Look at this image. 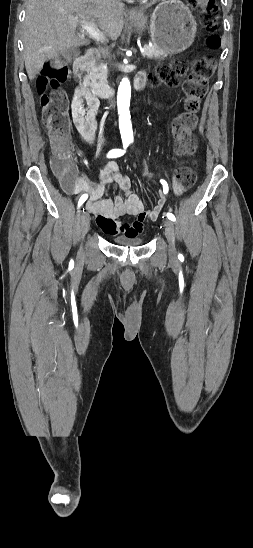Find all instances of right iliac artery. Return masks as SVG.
<instances>
[{
    "instance_id": "obj_1",
    "label": "right iliac artery",
    "mask_w": 253,
    "mask_h": 548,
    "mask_svg": "<svg viewBox=\"0 0 253 548\" xmlns=\"http://www.w3.org/2000/svg\"><path fill=\"white\" fill-rule=\"evenodd\" d=\"M129 142H123V149H112L108 152L107 158H116L120 157L125 153L126 148L128 147ZM88 198L87 194H83L78 202V207H80ZM84 211V209H83Z\"/></svg>"
}]
</instances>
